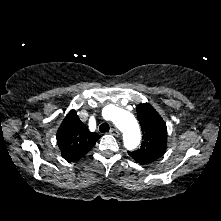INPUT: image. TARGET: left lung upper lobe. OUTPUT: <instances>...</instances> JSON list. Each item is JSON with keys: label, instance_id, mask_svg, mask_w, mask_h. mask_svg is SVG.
Returning a JSON list of instances; mask_svg holds the SVG:
<instances>
[{"label": "left lung upper lobe", "instance_id": "left-lung-upper-lobe-1", "mask_svg": "<svg viewBox=\"0 0 221 221\" xmlns=\"http://www.w3.org/2000/svg\"><path fill=\"white\" fill-rule=\"evenodd\" d=\"M137 118L141 125L143 142L140 149L128 154L143 165L157 160L165 153L167 128L164 120L149 103L137 106Z\"/></svg>", "mask_w": 221, "mask_h": 221}]
</instances>
